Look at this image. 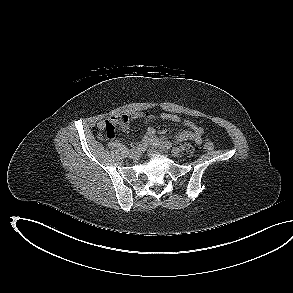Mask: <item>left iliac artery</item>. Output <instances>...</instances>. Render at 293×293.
<instances>
[{
  "label": "left iliac artery",
  "mask_w": 293,
  "mask_h": 293,
  "mask_svg": "<svg viewBox=\"0 0 293 293\" xmlns=\"http://www.w3.org/2000/svg\"><path fill=\"white\" fill-rule=\"evenodd\" d=\"M180 148H181L182 151L185 150V146L184 145H181Z\"/></svg>",
  "instance_id": "1"
}]
</instances>
